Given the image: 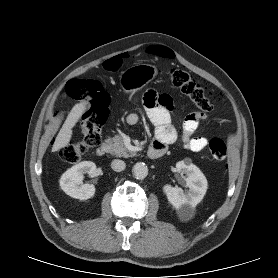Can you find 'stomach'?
<instances>
[{
  "instance_id": "0dacf381",
  "label": "stomach",
  "mask_w": 278,
  "mask_h": 278,
  "mask_svg": "<svg viewBox=\"0 0 278 278\" xmlns=\"http://www.w3.org/2000/svg\"><path fill=\"white\" fill-rule=\"evenodd\" d=\"M158 74L155 66L145 63L135 64L120 75V84L127 93H135L145 87Z\"/></svg>"
}]
</instances>
